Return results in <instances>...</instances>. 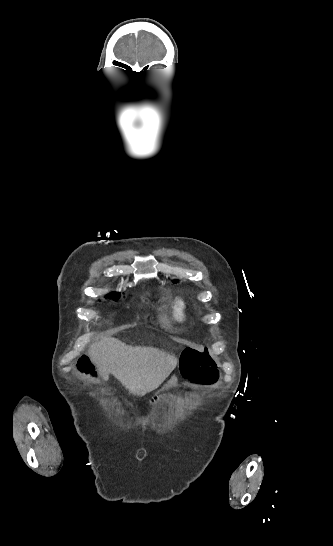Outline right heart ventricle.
Returning <instances> with one entry per match:
<instances>
[{"label": "right heart ventricle", "mask_w": 333, "mask_h": 546, "mask_svg": "<svg viewBox=\"0 0 333 546\" xmlns=\"http://www.w3.org/2000/svg\"><path fill=\"white\" fill-rule=\"evenodd\" d=\"M171 320L176 323H183L188 318L187 303L180 298L174 299L170 306Z\"/></svg>", "instance_id": "e07e8e85"}]
</instances>
